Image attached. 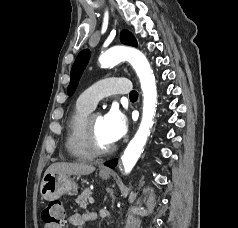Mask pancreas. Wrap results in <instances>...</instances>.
<instances>
[{"mask_svg":"<svg viewBox=\"0 0 238 228\" xmlns=\"http://www.w3.org/2000/svg\"><path fill=\"white\" fill-rule=\"evenodd\" d=\"M91 191L89 189H85L76 199L75 202L80 205L83 209H86L88 205V199L90 198Z\"/></svg>","mask_w":238,"mask_h":228,"instance_id":"1","label":"pancreas"}]
</instances>
